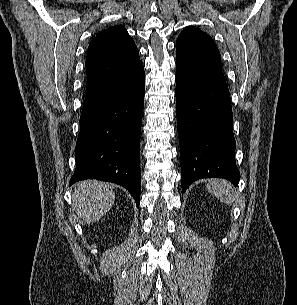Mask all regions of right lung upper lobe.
I'll list each match as a JSON object with an SVG mask.
<instances>
[{"label": "right lung upper lobe", "instance_id": "obj_1", "mask_svg": "<svg viewBox=\"0 0 297 305\" xmlns=\"http://www.w3.org/2000/svg\"><path fill=\"white\" fill-rule=\"evenodd\" d=\"M140 63L139 51L126 29L120 25L107 28L89 44L85 63L86 90L119 78Z\"/></svg>", "mask_w": 297, "mask_h": 305}]
</instances>
